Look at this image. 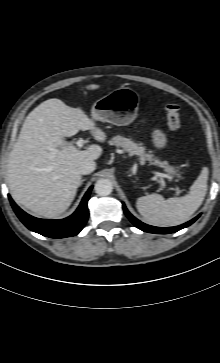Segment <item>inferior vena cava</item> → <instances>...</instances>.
Masks as SVG:
<instances>
[{
    "instance_id": "1",
    "label": "inferior vena cava",
    "mask_w": 220,
    "mask_h": 363,
    "mask_svg": "<svg viewBox=\"0 0 220 363\" xmlns=\"http://www.w3.org/2000/svg\"><path fill=\"white\" fill-rule=\"evenodd\" d=\"M95 168L96 163L94 161L87 160L80 165V173L83 175L90 174L95 170Z\"/></svg>"
}]
</instances>
